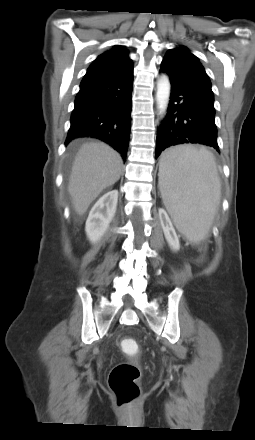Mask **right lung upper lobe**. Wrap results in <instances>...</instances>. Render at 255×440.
Returning <instances> with one entry per match:
<instances>
[{"mask_svg": "<svg viewBox=\"0 0 255 440\" xmlns=\"http://www.w3.org/2000/svg\"><path fill=\"white\" fill-rule=\"evenodd\" d=\"M127 55L128 51L122 46H114L111 50L104 52L90 65L81 85L97 82L132 66V61Z\"/></svg>", "mask_w": 255, "mask_h": 440, "instance_id": "1", "label": "right lung upper lobe"}]
</instances>
